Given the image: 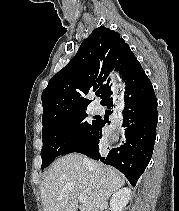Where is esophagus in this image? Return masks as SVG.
<instances>
[{
	"label": "esophagus",
	"instance_id": "esophagus-1",
	"mask_svg": "<svg viewBox=\"0 0 179 211\" xmlns=\"http://www.w3.org/2000/svg\"><path fill=\"white\" fill-rule=\"evenodd\" d=\"M110 79H123V74H110ZM111 98H124V93H121L120 89H113L111 93ZM127 105V102L124 99H116V101H111V106H113V116L116 119L111 120V128L109 129L110 133H104L102 145H115V141H120L119 132L122 129V109Z\"/></svg>",
	"mask_w": 179,
	"mask_h": 211
}]
</instances>
